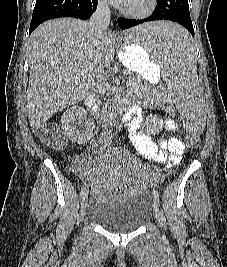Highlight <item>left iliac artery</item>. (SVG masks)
<instances>
[{
    "label": "left iliac artery",
    "mask_w": 227,
    "mask_h": 267,
    "mask_svg": "<svg viewBox=\"0 0 227 267\" xmlns=\"http://www.w3.org/2000/svg\"><path fill=\"white\" fill-rule=\"evenodd\" d=\"M153 195H154L155 199L159 202V194H158L157 190L153 189Z\"/></svg>",
    "instance_id": "44dca946"
}]
</instances>
